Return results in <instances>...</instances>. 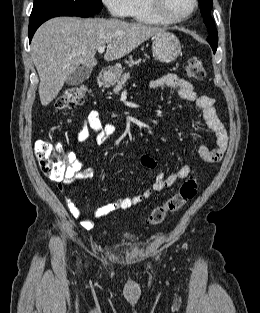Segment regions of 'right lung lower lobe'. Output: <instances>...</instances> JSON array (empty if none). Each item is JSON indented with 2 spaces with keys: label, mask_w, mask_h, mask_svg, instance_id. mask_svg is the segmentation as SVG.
Listing matches in <instances>:
<instances>
[{
  "label": "right lung lower lobe",
  "mask_w": 260,
  "mask_h": 313,
  "mask_svg": "<svg viewBox=\"0 0 260 313\" xmlns=\"http://www.w3.org/2000/svg\"><path fill=\"white\" fill-rule=\"evenodd\" d=\"M58 16H78V17H93L91 13H78V12H61V11H42L31 13L29 19V41H31L37 28L46 20Z\"/></svg>",
  "instance_id": "right-lung-lower-lobe-1"
}]
</instances>
